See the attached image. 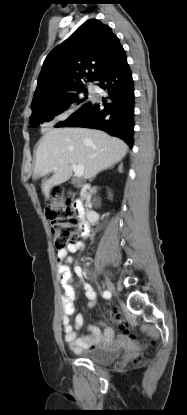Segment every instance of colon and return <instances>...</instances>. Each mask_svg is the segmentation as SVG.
I'll use <instances>...</instances> for the list:
<instances>
[{
  "label": "colon",
  "mask_w": 187,
  "mask_h": 415,
  "mask_svg": "<svg viewBox=\"0 0 187 415\" xmlns=\"http://www.w3.org/2000/svg\"><path fill=\"white\" fill-rule=\"evenodd\" d=\"M52 196L53 202L47 210V215L55 237V247L58 250H63L78 240L80 221L71 210L61 187L53 188ZM111 315L121 332L133 336L128 324L118 311H113Z\"/></svg>",
  "instance_id": "1"
}]
</instances>
